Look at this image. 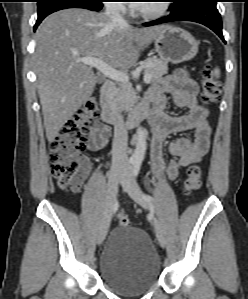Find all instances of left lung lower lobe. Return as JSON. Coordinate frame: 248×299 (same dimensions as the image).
I'll return each instance as SVG.
<instances>
[{"label": "left lung lower lobe", "instance_id": "0a47b994", "mask_svg": "<svg viewBox=\"0 0 248 299\" xmlns=\"http://www.w3.org/2000/svg\"><path fill=\"white\" fill-rule=\"evenodd\" d=\"M217 1L186 0L182 2V0H174V4L170 7V15L145 23V25L152 26L176 20L193 21L209 27L225 42L222 35L221 16L216 8Z\"/></svg>", "mask_w": 248, "mask_h": 299}]
</instances>
